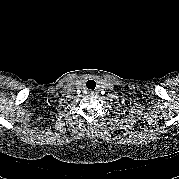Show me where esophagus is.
Returning <instances> with one entry per match:
<instances>
[{"label": "esophagus", "mask_w": 179, "mask_h": 179, "mask_svg": "<svg viewBox=\"0 0 179 179\" xmlns=\"http://www.w3.org/2000/svg\"><path fill=\"white\" fill-rule=\"evenodd\" d=\"M93 93H94V91L88 90V94H89V95H93Z\"/></svg>", "instance_id": "34e87169"}]
</instances>
